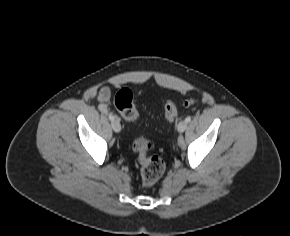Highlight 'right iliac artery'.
Instances as JSON below:
<instances>
[{"label":"right iliac artery","mask_w":290,"mask_h":236,"mask_svg":"<svg viewBox=\"0 0 290 236\" xmlns=\"http://www.w3.org/2000/svg\"><path fill=\"white\" fill-rule=\"evenodd\" d=\"M109 119H110L111 121H113L115 118H114V116H113L112 114H109Z\"/></svg>","instance_id":"right-iliac-artery-1"}]
</instances>
